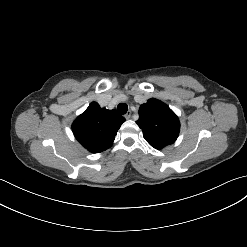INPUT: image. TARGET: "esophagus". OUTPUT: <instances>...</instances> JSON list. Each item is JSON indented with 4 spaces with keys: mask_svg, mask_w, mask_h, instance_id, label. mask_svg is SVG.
Segmentation results:
<instances>
[{
    "mask_svg": "<svg viewBox=\"0 0 247 247\" xmlns=\"http://www.w3.org/2000/svg\"><path fill=\"white\" fill-rule=\"evenodd\" d=\"M124 117H125L126 119H130V118H131V111H128V112L124 115Z\"/></svg>",
    "mask_w": 247,
    "mask_h": 247,
    "instance_id": "obj_1",
    "label": "esophagus"
}]
</instances>
